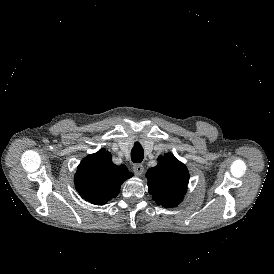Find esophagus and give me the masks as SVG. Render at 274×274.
Returning <instances> with one entry per match:
<instances>
[{"label": "esophagus", "mask_w": 274, "mask_h": 274, "mask_svg": "<svg viewBox=\"0 0 274 274\" xmlns=\"http://www.w3.org/2000/svg\"><path fill=\"white\" fill-rule=\"evenodd\" d=\"M134 173L138 176H141L144 172V166L140 163H136L132 167Z\"/></svg>", "instance_id": "obj_1"}]
</instances>
